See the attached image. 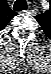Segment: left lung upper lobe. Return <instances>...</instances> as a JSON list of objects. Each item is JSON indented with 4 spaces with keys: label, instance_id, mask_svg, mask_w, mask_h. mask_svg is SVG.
<instances>
[{
    "label": "left lung upper lobe",
    "instance_id": "5c2ea615",
    "mask_svg": "<svg viewBox=\"0 0 51 74\" xmlns=\"http://www.w3.org/2000/svg\"><path fill=\"white\" fill-rule=\"evenodd\" d=\"M43 17H45V13L37 15L35 18L40 24H42L44 20Z\"/></svg>",
    "mask_w": 51,
    "mask_h": 74
}]
</instances>
